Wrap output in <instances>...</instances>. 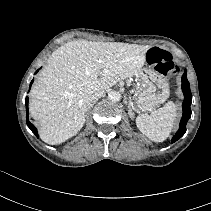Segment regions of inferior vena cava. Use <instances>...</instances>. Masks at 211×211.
I'll return each mask as SVG.
<instances>
[{"mask_svg":"<svg viewBox=\"0 0 211 211\" xmlns=\"http://www.w3.org/2000/svg\"><path fill=\"white\" fill-rule=\"evenodd\" d=\"M104 94V90H96L93 95H92V99L97 100L98 98H100L102 95Z\"/></svg>","mask_w":211,"mask_h":211,"instance_id":"602c4592","label":"inferior vena cava"}]
</instances>
